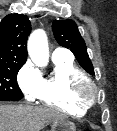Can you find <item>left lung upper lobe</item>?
<instances>
[{"label": "left lung upper lobe", "mask_w": 117, "mask_h": 131, "mask_svg": "<svg viewBox=\"0 0 117 131\" xmlns=\"http://www.w3.org/2000/svg\"><path fill=\"white\" fill-rule=\"evenodd\" d=\"M53 34L57 42L75 55L79 64L89 73L94 75L93 65L87 53L84 39L72 20H55L52 23Z\"/></svg>", "instance_id": "obj_1"}]
</instances>
